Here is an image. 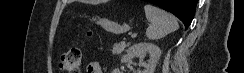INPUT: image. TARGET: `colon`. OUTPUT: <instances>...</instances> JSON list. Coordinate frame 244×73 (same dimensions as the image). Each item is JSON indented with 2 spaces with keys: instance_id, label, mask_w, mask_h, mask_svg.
Masks as SVG:
<instances>
[{
  "instance_id": "obj_1",
  "label": "colon",
  "mask_w": 244,
  "mask_h": 73,
  "mask_svg": "<svg viewBox=\"0 0 244 73\" xmlns=\"http://www.w3.org/2000/svg\"><path fill=\"white\" fill-rule=\"evenodd\" d=\"M82 65V50L78 47L69 48L59 61L60 69L65 73H80Z\"/></svg>"
}]
</instances>
